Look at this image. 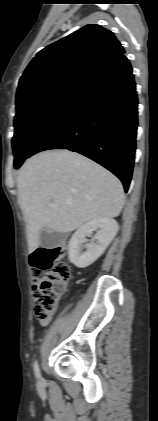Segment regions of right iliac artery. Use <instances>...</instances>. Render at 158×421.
Instances as JSON below:
<instances>
[{
    "instance_id": "82829eb1",
    "label": "right iliac artery",
    "mask_w": 158,
    "mask_h": 421,
    "mask_svg": "<svg viewBox=\"0 0 158 421\" xmlns=\"http://www.w3.org/2000/svg\"><path fill=\"white\" fill-rule=\"evenodd\" d=\"M33 368H34V373L36 377L39 379L41 377V374H40V369H39L37 361L34 362Z\"/></svg>"
}]
</instances>
